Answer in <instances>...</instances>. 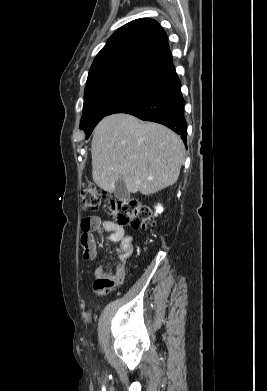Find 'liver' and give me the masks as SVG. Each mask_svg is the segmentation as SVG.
<instances>
[{
    "label": "liver",
    "instance_id": "1",
    "mask_svg": "<svg viewBox=\"0 0 267 391\" xmlns=\"http://www.w3.org/2000/svg\"><path fill=\"white\" fill-rule=\"evenodd\" d=\"M92 178L112 193L123 179L129 193H156L178 179L185 150L181 138L163 125L124 113L103 118L91 145Z\"/></svg>",
    "mask_w": 267,
    "mask_h": 391
}]
</instances>
